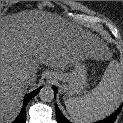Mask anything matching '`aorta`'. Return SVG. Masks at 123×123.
I'll use <instances>...</instances> for the list:
<instances>
[{
	"instance_id": "obj_1",
	"label": "aorta",
	"mask_w": 123,
	"mask_h": 123,
	"mask_svg": "<svg viewBox=\"0 0 123 123\" xmlns=\"http://www.w3.org/2000/svg\"><path fill=\"white\" fill-rule=\"evenodd\" d=\"M39 98L43 102H50L54 98V91L51 87L45 86L39 92Z\"/></svg>"
}]
</instances>
